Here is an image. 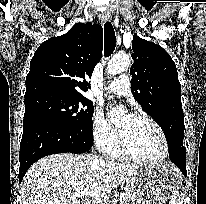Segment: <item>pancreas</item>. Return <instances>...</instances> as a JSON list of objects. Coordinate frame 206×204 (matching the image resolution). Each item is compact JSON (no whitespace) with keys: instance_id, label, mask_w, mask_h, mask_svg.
Instances as JSON below:
<instances>
[{"instance_id":"obj_1","label":"pancreas","mask_w":206,"mask_h":204,"mask_svg":"<svg viewBox=\"0 0 206 204\" xmlns=\"http://www.w3.org/2000/svg\"><path fill=\"white\" fill-rule=\"evenodd\" d=\"M136 196L132 193V190L128 187L125 190V198L121 200V204H135Z\"/></svg>"}]
</instances>
